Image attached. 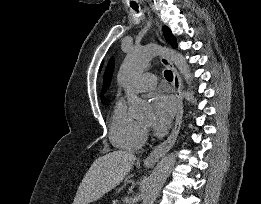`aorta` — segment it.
Listing matches in <instances>:
<instances>
[{
  "instance_id": "762f6f07",
  "label": "aorta",
  "mask_w": 261,
  "mask_h": 204,
  "mask_svg": "<svg viewBox=\"0 0 261 204\" xmlns=\"http://www.w3.org/2000/svg\"><path fill=\"white\" fill-rule=\"evenodd\" d=\"M160 54H166L170 61L178 68L186 83L191 85L192 75L189 71V65L181 53L173 49L162 48L155 44L130 50L120 67L118 80L125 88L126 97L129 101V113L133 118L146 116L150 111V107L145 99L132 93L131 85L143 73L150 61ZM175 162L176 155L171 153L162 158L156 165L145 185L142 204H154Z\"/></svg>"
}]
</instances>
